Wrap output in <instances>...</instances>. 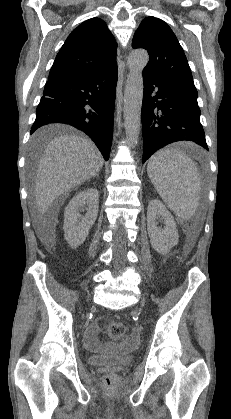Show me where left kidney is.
Returning <instances> with one entry per match:
<instances>
[{
	"instance_id": "5707ae66",
	"label": "left kidney",
	"mask_w": 231,
	"mask_h": 419,
	"mask_svg": "<svg viewBox=\"0 0 231 419\" xmlns=\"http://www.w3.org/2000/svg\"><path fill=\"white\" fill-rule=\"evenodd\" d=\"M164 219L166 227H157V218ZM147 230L152 247L161 254L168 253L178 244L179 235L175 220L160 200H151L147 209Z\"/></svg>"
}]
</instances>
